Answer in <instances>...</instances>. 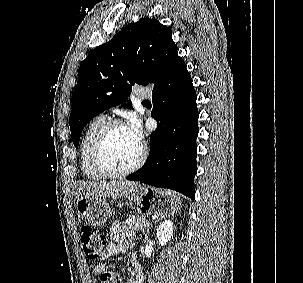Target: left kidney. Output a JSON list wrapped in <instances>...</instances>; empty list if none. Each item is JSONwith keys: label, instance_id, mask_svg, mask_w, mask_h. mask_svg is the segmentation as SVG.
<instances>
[{"label": "left kidney", "instance_id": "5707ae66", "mask_svg": "<svg viewBox=\"0 0 303 283\" xmlns=\"http://www.w3.org/2000/svg\"><path fill=\"white\" fill-rule=\"evenodd\" d=\"M173 229L174 227L170 220H165L160 223L159 227L157 228V239L159 240V244L161 246L170 241L171 237L173 236Z\"/></svg>", "mask_w": 303, "mask_h": 283}]
</instances>
